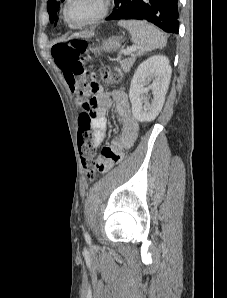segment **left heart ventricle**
<instances>
[{"label": "left heart ventricle", "mask_w": 227, "mask_h": 298, "mask_svg": "<svg viewBox=\"0 0 227 298\" xmlns=\"http://www.w3.org/2000/svg\"><path fill=\"white\" fill-rule=\"evenodd\" d=\"M100 7V0H71L68 12L74 23H82L97 15Z\"/></svg>", "instance_id": "left-heart-ventricle-1"}]
</instances>
